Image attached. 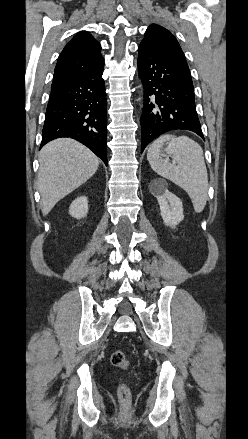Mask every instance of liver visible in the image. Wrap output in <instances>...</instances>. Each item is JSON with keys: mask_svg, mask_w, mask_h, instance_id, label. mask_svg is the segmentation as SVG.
<instances>
[{"mask_svg": "<svg viewBox=\"0 0 248 439\" xmlns=\"http://www.w3.org/2000/svg\"><path fill=\"white\" fill-rule=\"evenodd\" d=\"M38 190L42 213L51 209L97 171L99 158L81 143L61 138L46 144L39 153Z\"/></svg>", "mask_w": 248, "mask_h": 439, "instance_id": "obj_1", "label": "liver"}]
</instances>
